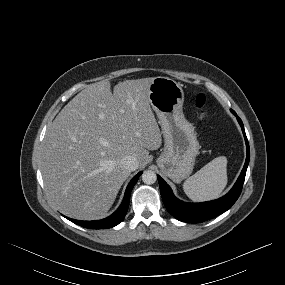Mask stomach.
Returning <instances> with one entry per match:
<instances>
[{
	"label": "stomach",
	"instance_id": "1",
	"mask_svg": "<svg viewBox=\"0 0 285 285\" xmlns=\"http://www.w3.org/2000/svg\"><path fill=\"white\" fill-rule=\"evenodd\" d=\"M149 92V102L159 118L165 140L157 165L179 183L192 173L200 149L194 127L183 114L184 91L179 82L156 77Z\"/></svg>",
	"mask_w": 285,
	"mask_h": 285
}]
</instances>
